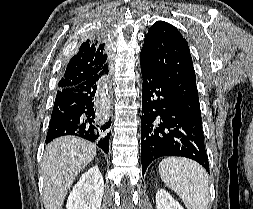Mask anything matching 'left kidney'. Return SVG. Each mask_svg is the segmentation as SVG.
<instances>
[{"label":"left kidney","mask_w":253,"mask_h":209,"mask_svg":"<svg viewBox=\"0 0 253 209\" xmlns=\"http://www.w3.org/2000/svg\"><path fill=\"white\" fill-rule=\"evenodd\" d=\"M157 209H184L172 196L164 189L156 193Z\"/></svg>","instance_id":"1"}]
</instances>
